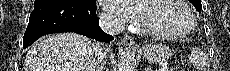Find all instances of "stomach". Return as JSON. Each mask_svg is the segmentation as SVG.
Listing matches in <instances>:
<instances>
[{
	"instance_id": "0dacf381",
	"label": "stomach",
	"mask_w": 230,
	"mask_h": 71,
	"mask_svg": "<svg viewBox=\"0 0 230 71\" xmlns=\"http://www.w3.org/2000/svg\"><path fill=\"white\" fill-rule=\"evenodd\" d=\"M143 57L152 63H162L171 57V50L162 44H152L143 50Z\"/></svg>"
}]
</instances>
